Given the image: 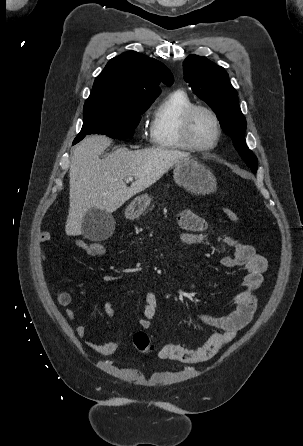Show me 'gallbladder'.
Listing matches in <instances>:
<instances>
[{"label": "gallbladder", "instance_id": "gallbladder-1", "mask_svg": "<svg viewBox=\"0 0 303 446\" xmlns=\"http://www.w3.org/2000/svg\"><path fill=\"white\" fill-rule=\"evenodd\" d=\"M114 228L112 215L100 209L89 210L82 220V235L90 240H104L111 236Z\"/></svg>", "mask_w": 303, "mask_h": 446}]
</instances>
